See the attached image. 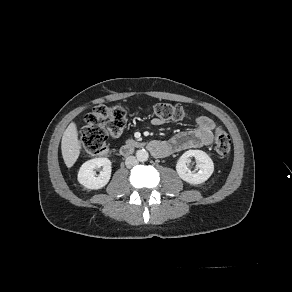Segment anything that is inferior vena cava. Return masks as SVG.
<instances>
[{"mask_svg": "<svg viewBox=\"0 0 292 292\" xmlns=\"http://www.w3.org/2000/svg\"><path fill=\"white\" fill-rule=\"evenodd\" d=\"M137 163H138V161H137L136 157H134V156H129L125 160V165L127 168H132L135 165H137Z\"/></svg>", "mask_w": 292, "mask_h": 292, "instance_id": "1", "label": "inferior vena cava"}]
</instances>
